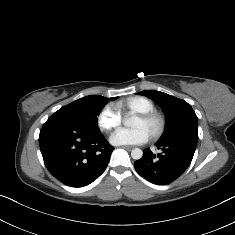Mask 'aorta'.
Returning <instances> with one entry per match:
<instances>
[{"mask_svg":"<svg viewBox=\"0 0 235 235\" xmlns=\"http://www.w3.org/2000/svg\"><path fill=\"white\" fill-rule=\"evenodd\" d=\"M131 121L130 118L126 119L124 121V125L125 126H129V122ZM143 156V151L139 148H134L132 151H131V157L135 160H139L141 159Z\"/></svg>","mask_w":235,"mask_h":235,"instance_id":"obj_1","label":"aorta"}]
</instances>
